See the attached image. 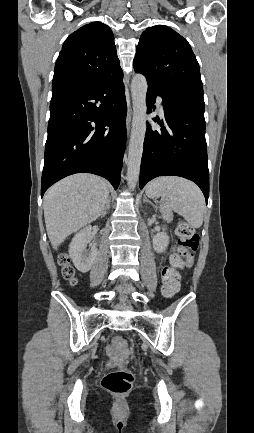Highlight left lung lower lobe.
I'll list each match as a JSON object with an SVG mask.
<instances>
[{"label": "left lung lower lobe", "instance_id": "obj_1", "mask_svg": "<svg viewBox=\"0 0 254 433\" xmlns=\"http://www.w3.org/2000/svg\"><path fill=\"white\" fill-rule=\"evenodd\" d=\"M163 99L165 118H153L161 128L147 125L140 169V188L158 176H180L195 182L206 202L209 172L205 140L204 105L188 98L166 96L148 83L147 112L155 109L156 96Z\"/></svg>", "mask_w": 254, "mask_h": 433}]
</instances>
